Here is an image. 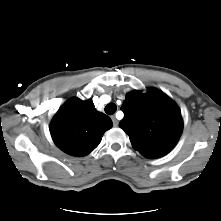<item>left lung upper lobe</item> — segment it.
I'll return each mask as SVG.
<instances>
[{"instance_id":"5c2ea615","label":"left lung upper lobe","mask_w":221,"mask_h":221,"mask_svg":"<svg viewBox=\"0 0 221 221\" xmlns=\"http://www.w3.org/2000/svg\"><path fill=\"white\" fill-rule=\"evenodd\" d=\"M119 123L135 150L147 158H159L178 142L183 120L179 107L162 91L151 88L146 94L133 91L121 107Z\"/></svg>"}]
</instances>
